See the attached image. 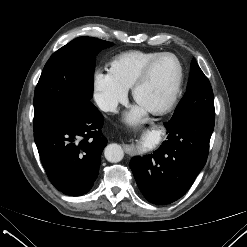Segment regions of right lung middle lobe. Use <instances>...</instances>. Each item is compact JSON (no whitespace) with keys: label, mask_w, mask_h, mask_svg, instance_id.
<instances>
[{"label":"right lung middle lobe","mask_w":247,"mask_h":247,"mask_svg":"<svg viewBox=\"0 0 247 247\" xmlns=\"http://www.w3.org/2000/svg\"><path fill=\"white\" fill-rule=\"evenodd\" d=\"M113 43L79 37L47 61L34 94V132L93 96L96 55Z\"/></svg>","instance_id":"1"}]
</instances>
